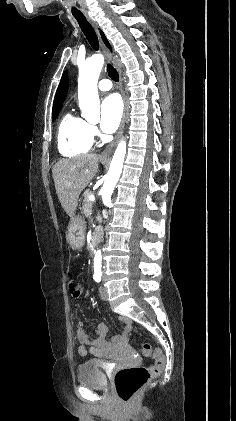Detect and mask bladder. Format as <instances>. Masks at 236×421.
<instances>
[{
	"label": "bladder",
	"instance_id": "obj_1",
	"mask_svg": "<svg viewBox=\"0 0 236 421\" xmlns=\"http://www.w3.org/2000/svg\"><path fill=\"white\" fill-rule=\"evenodd\" d=\"M77 383L88 386L92 390H103L106 387V376L101 370L98 359L82 362L76 372Z\"/></svg>",
	"mask_w": 236,
	"mask_h": 421
}]
</instances>
